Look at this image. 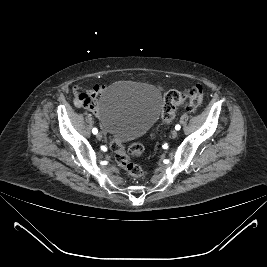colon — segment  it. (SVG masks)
Segmentation results:
<instances>
[{
	"label": "colon",
	"mask_w": 267,
	"mask_h": 267,
	"mask_svg": "<svg viewBox=\"0 0 267 267\" xmlns=\"http://www.w3.org/2000/svg\"><path fill=\"white\" fill-rule=\"evenodd\" d=\"M203 102V87L199 84L179 91L171 89L164 95V104L162 108V119L164 123L172 122L176 117L177 108L186 104L187 109L195 112L200 108ZM112 149L115 153L117 165L133 178H143L146 170L140 165L134 163L131 157H140L144 152V147L138 142H132L128 147L115 141L112 143Z\"/></svg>",
	"instance_id": "1"
}]
</instances>
